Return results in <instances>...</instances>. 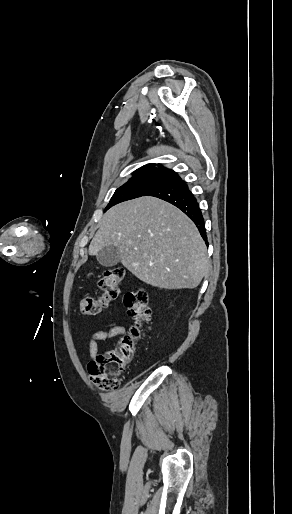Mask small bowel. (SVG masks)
Segmentation results:
<instances>
[{"label": "small bowel", "mask_w": 292, "mask_h": 514, "mask_svg": "<svg viewBox=\"0 0 292 514\" xmlns=\"http://www.w3.org/2000/svg\"><path fill=\"white\" fill-rule=\"evenodd\" d=\"M126 335V328L118 321L107 323L102 329L95 331L89 338V356L94 359L99 350V342Z\"/></svg>", "instance_id": "small-bowel-1"}]
</instances>
